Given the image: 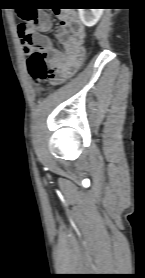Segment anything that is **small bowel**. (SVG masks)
<instances>
[{
	"instance_id": "c3829d8e",
	"label": "small bowel",
	"mask_w": 145,
	"mask_h": 278,
	"mask_svg": "<svg viewBox=\"0 0 145 278\" xmlns=\"http://www.w3.org/2000/svg\"><path fill=\"white\" fill-rule=\"evenodd\" d=\"M19 15L21 11L18 10ZM61 24L56 31L55 38L62 49L54 47L52 40L45 35L52 27V22L46 13H41L34 20L20 24L21 29L33 33L36 51L43 54L51 66V77L58 79L68 70L77 71L85 60L83 48L84 26L75 12H56Z\"/></svg>"
}]
</instances>
